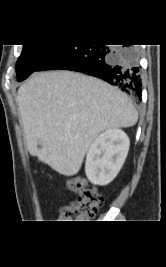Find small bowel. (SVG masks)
I'll list each match as a JSON object with an SVG mask.
<instances>
[{"mask_svg":"<svg viewBox=\"0 0 166 267\" xmlns=\"http://www.w3.org/2000/svg\"><path fill=\"white\" fill-rule=\"evenodd\" d=\"M69 188H70L71 190H73V189H72V186H71V183L69 184Z\"/></svg>","mask_w":166,"mask_h":267,"instance_id":"obj_1","label":"small bowel"}]
</instances>
